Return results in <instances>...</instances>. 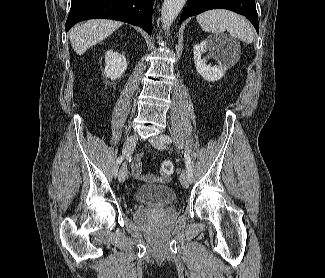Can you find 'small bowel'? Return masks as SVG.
Returning <instances> with one entry per match:
<instances>
[{"mask_svg": "<svg viewBox=\"0 0 325 278\" xmlns=\"http://www.w3.org/2000/svg\"><path fill=\"white\" fill-rule=\"evenodd\" d=\"M141 155H137L132 164H131V175L135 179H141L143 176L141 175Z\"/></svg>", "mask_w": 325, "mask_h": 278, "instance_id": "1", "label": "small bowel"}]
</instances>
